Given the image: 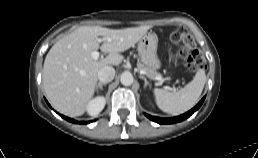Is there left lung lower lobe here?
Segmentation results:
<instances>
[{
    "label": "left lung lower lobe",
    "mask_w": 258,
    "mask_h": 158,
    "mask_svg": "<svg viewBox=\"0 0 258 158\" xmlns=\"http://www.w3.org/2000/svg\"><path fill=\"white\" fill-rule=\"evenodd\" d=\"M204 99H205V97H203L201 99V101L194 108H192L190 111H188L185 114H182L180 116H177V117H173V118H159V117L151 116V115H148V114H145V115L149 119H151L152 121L157 122L159 124H171V123L180 122L182 120H185L186 118H189L196 110H198L200 108V106L202 105Z\"/></svg>",
    "instance_id": "obj_1"
}]
</instances>
